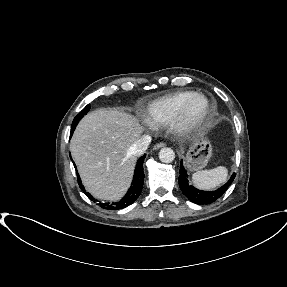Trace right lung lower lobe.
Instances as JSON below:
<instances>
[{"mask_svg":"<svg viewBox=\"0 0 287 287\" xmlns=\"http://www.w3.org/2000/svg\"><path fill=\"white\" fill-rule=\"evenodd\" d=\"M74 130H71V135L73 134ZM145 157L146 155H143L137 161V165L134 171L133 181L127 194L120 201L115 202V203H99L102 208L108 209V210H119V209L129 206L139 197V195L141 194L142 188H143V183H144L143 162H144ZM74 167H75V164H74ZM77 178H78V183L80 185V188L88 196V198L92 200L93 197L85 191L84 186L81 184V179L79 175L77 176Z\"/></svg>","mask_w":287,"mask_h":287,"instance_id":"1","label":"right lung lower lobe"}]
</instances>
